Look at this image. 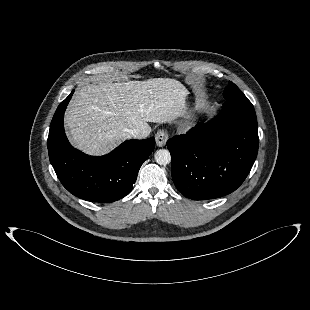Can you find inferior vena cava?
<instances>
[{
    "label": "inferior vena cava",
    "instance_id": "602c4592",
    "mask_svg": "<svg viewBox=\"0 0 310 310\" xmlns=\"http://www.w3.org/2000/svg\"><path fill=\"white\" fill-rule=\"evenodd\" d=\"M126 133L129 138L135 139H144L148 136V133L142 132L140 129H128L126 130Z\"/></svg>",
    "mask_w": 310,
    "mask_h": 310
}]
</instances>
